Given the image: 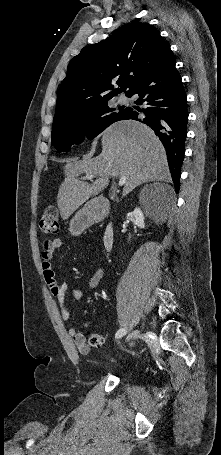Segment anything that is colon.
<instances>
[{
	"instance_id": "obj_1",
	"label": "colon",
	"mask_w": 221,
	"mask_h": 455,
	"mask_svg": "<svg viewBox=\"0 0 221 455\" xmlns=\"http://www.w3.org/2000/svg\"><path fill=\"white\" fill-rule=\"evenodd\" d=\"M59 212L54 205L47 206L41 216L39 228L44 234H56L59 227ZM92 345H100L101 338L98 335H92L90 338Z\"/></svg>"
}]
</instances>
